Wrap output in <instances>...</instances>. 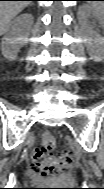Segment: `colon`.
<instances>
[{"label":"colon","mask_w":104,"mask_h":189,"mask_svg":"<svg viewBox=\"0 0 104 189\" xmlns=\"http://www.w3.org/2000/svg\"><path fill=\"white\" fill-rule=\"evenodd\" d=\"M56 139L52 134L45 133L40 143L34 148L31 159V168L43 178L55 176L67 170L73 162L70 152L65 151L58 157L50 153L56 148Z\"/></svg>","instance_id":"1"}]
</instances>
